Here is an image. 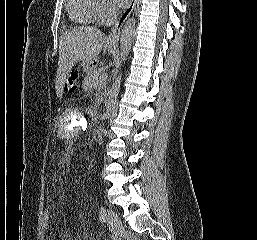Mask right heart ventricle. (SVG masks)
I'll return each mask as SVG.
<instances>
[{
  "label": "right heart ventricle",
  "instance_id": "right-heart-ventricle-1",
  "mask_svg": "<svg viewBox=\"0 0 257 240\" xmlns=\"http://www.w3.org/2000/svg\"><path fill=\"white\" fill-rule=\"evenodd\" d=\"M96 0H67V11L77 24L89 25L95 22Z\"/></svg>",
  "mask_w": 257,
  "mask_h": 240
}]
</instances>
